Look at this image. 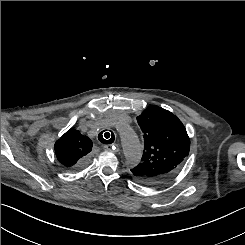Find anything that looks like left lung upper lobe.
Wrapping results in <instances>:
<instances>
[{
	"label": "left lung upper lobe",
	"mask_w": 245,
	"mask_h": 245,
	"mask_svg": "<svg viewBox=\"0 0 245 245\" xmlns=\"http://www.w3.org/2000/svg\"><path fill=\"white\" fill-rule=\"evenodd\" d=\"M137 121L144 133V151L131 175L143 185L163 184L178 173L189 154L186 129L174 114L158 106L147 107Z\"/></svg>",
	"instance_id": "1"
}]
</instances>
